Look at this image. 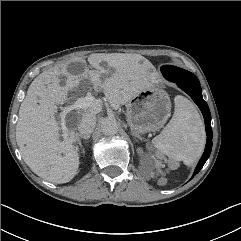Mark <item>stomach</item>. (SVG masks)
Returning a JSON list of instances; mask_svg holds the SVG:
<instances>
[{
    "label": "stomach",
    "mask_w": 241,
    "mask_h": 241,
    "mask_svg": "<svg viewBox=\"0 0 241 241\" xmlns=\"http://www.w3.org/2000/svg\"><path fill=\"white\" fill-rule=\"evenodd\" d=\"M169 95L157 87L142 90L126 104V120L135 133L145 134L161 129L170 117Z\"/></svg>",
    "instance_id": "1"
}]
</instances>
